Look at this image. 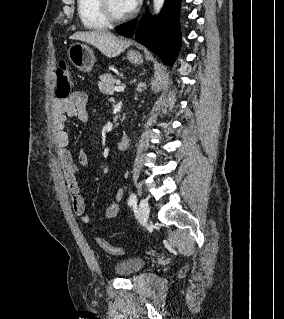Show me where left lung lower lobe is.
Listing matches in <instances>:
<instances>
[{
    "label": "left lung lower lobe",
    "mask_w": 284,
    "mask_h": 319,
    "mask_svg": "<svg viewBox=\"0 0 284 319\" xmlns=\"http://www.w3.org/2000/svg\"><path fill=\"white\" fill-rule=\"evenodd\" d=\"M181 0H165L161 13L152 18L147 12L137 22L134 19L116 28L126 37L135 33L136 40L157 53L167 65H171L179 51V6Z\"/></svg>",
    "instance_id": "obj_1"
}]
</instances>
